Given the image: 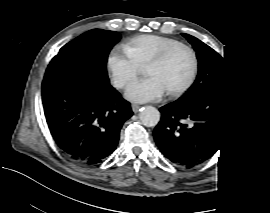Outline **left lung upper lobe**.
<instances>
[{
    "instance_id": "5c2ea615",
    "label": "left lung upper lobe",
    "mask_w": 270,
    "mask_h": 213,
    "mask_svg": "<svg viewBox=\"0 0 270 213\" xmlns=\"http://www.w3.org/2000/svg\"><path fill=\"white\" fill-rule=\"evenodd\" d=\"M182 35L192 44L199 61L197 79L182 99L196 100L233 85L229 67L217 52L191 35Z\"/></svg>"
}]
</instances>
